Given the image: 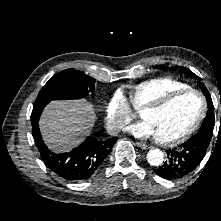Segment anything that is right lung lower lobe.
<instances>
[{
  "mask_svg": "<svg viewBox=\"0 0 221 221\" xmlns=\"http://www.w3.org/2000/svg\"><path fill=\"white\" fill-rule=\"evenodd\" d=\"M49 102V100L35 102L31 114L32 135L45 165L67 181L89 178L104 162L118 138L97 140L88 137L79 147L68 153H53L44 144L38 125L40 115Z\"/></svg>",
  "mask_w": 221,
  "mask_h": 221,
  "instance_id": "1",
  "label": "right lung lower lobe"
}]
</instances>
